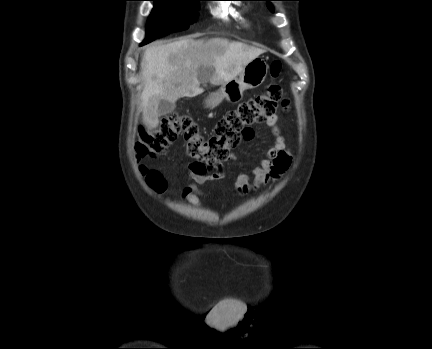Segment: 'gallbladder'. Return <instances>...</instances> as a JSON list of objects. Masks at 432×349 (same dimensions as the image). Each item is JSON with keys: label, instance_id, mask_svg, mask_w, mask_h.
Wrapping results in <instances>:
<instances>
[{"label": "gallbladder", "instance_id": "gallbladder-1", "mask_svg": "<svg viewBox=\"0 0 432 349\" xmlns=\"http://www.w3.org/2000/svg\"><path fill=\"white\" fill-rule=\"evenodd\" d=\"M175 108L176 104L174 102H170L166 99H161L158 104V113L160 116L167 115L172 113Z\"/></svg>", "mask_w": 432, "mask_h": 349}]
</instances>
